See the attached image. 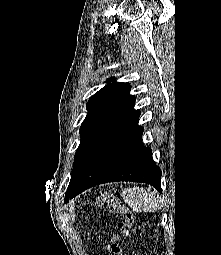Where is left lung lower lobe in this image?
Here are the masks:
<instances>
[{"label":"left lung lower lobe","instance_id":"obj_1","mask_svg":"<svg viewBox=\"0 0 221 255\" xmlns=\"http://www.w3.org/2000/svg\"><path fill=\"white\" fill-rule=\"evenodd\" d=\"M139 110L122 120L97 147L76 183L69 199L98 184L134 181L161 190V170L153 162L151 149L142 145L143 127ZM66 202V203H67Z\"/></svg>","mask_w":221,"mask_h":255}]
</instances>
